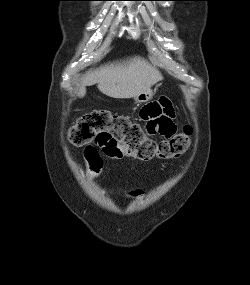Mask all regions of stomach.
I'll use <instances>...</instances> for the list:
<instances>
[{
    "label": "stomach",
    "instance_id": "0dacf381",
    "mask_svg": "<svg viewBox=\"0 0 250 285\" xmlns=\"http://www.w3.org/2000/svg\"><path fill=\"white\" fill-rule=\"evenodd\" d=\"M153 96L152 90H147L143 93H140L139 95L135 96L134 99L137 103H145L149 101Z\"/></svg>",
    "mask_w": 250,
    "mask_h": 285
}]
</instances>
